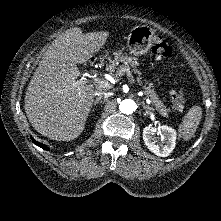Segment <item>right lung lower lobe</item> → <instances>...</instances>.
I'll use <instances>...</instances> for the list:
<instances>
[{"label": "right lung lower lobe", "mask_w": 221, "mask_h": 221, "mask_svg": "<svg viewBox=\"0 0 221 221\" xmlns=\"http://www.w3.org/2000/svg\"><path fill=\"white\" fill-rule=\"evenodd\" d=\"M31 139H32L33 143L36 144L37 146H39V147H41V148H43L45 150H49V148L46 145L35 141L32 137H31Z\"/></svg>", "instance_id": "98d812e1"}]
</instances>
